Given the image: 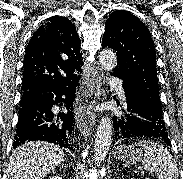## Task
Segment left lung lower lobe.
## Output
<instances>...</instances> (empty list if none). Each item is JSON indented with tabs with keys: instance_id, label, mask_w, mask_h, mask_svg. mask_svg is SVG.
Returning a JSON list of instances; mask_svg holds the SVG:
<instances>
[{
	"instance_id": "1",
	"label": "left lung lower lobe",
	"mask_w": 183,
	"mask_h": 179,
	"mask_svg": "<svg viewBox=\"0 0 183 179\" xmlns=\"http://www.w3.org/2000/svg\"><path fill=\"white\" fill-rule=\"evenodd\" d=\"M123 88L127 99V112L125 117L113 118L116 141L131 137H149L171 145L164 121L147 109L125 83Z\"/></svg>"
}]
</instances>
